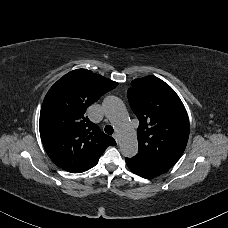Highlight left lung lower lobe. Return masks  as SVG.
Here are the masks:
<instances>
[{"label": "left lung lower lobe", "mask_w": 228, "mask_h": 228, "mask_svg": "<svg viewBox=\"0 0 228 228\" xmlns=\"http://www.w3.org/2000/svg\"><path fill=\"white\" fill-rule=\"evenodd\" d=\"M126 164L131 171L144 178H153L168 171L169 167L156 164L134 156L126 158Z\"/></svg>", "instance_id": "0a47b994"}]
</instances>
